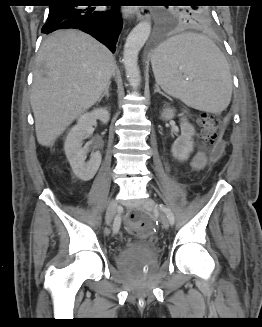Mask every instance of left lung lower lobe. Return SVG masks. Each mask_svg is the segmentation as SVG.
<instances>
[{"instance_id": "1", "label": "left lung lower lobe", "mask_w": 262, "mask_h": 327, "mask_svg": "<svg viewBox=\"0 0 262 327\" xmlns=\"http://www.w3.org/2000/svg\"><path fill=\"white\" fill-rule=\"evenodd\" d=\"M161 41V37H159V34L155 37L154 41H153V44L156 46L158 45V43H160Z\"/></svg>"}]
</instances>
